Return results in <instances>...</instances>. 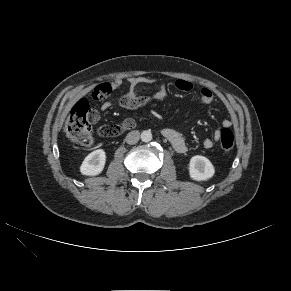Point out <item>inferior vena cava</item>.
I'll list each match as a JSON object with an SVG mask.
<instances>
[{
	"label": "inferior vena cava",
	"instance_id": "1",
	"mask_svg": "<svg viewBox=\"0 0 291 291\" xmlns=\"http://www.w3.org/2000/svg\"><path fill=\"white\" fill-rule=\"evenodd\" d=\"M139 138H140V133H139V131H137V130H134V131H131V132H129L128 134H127V136H126V142L128 143V144H135V143H137L138 141H139Z\"/></svg>",
	"mask_w": 291,
	"mask_h": 291
}]
</instances>
